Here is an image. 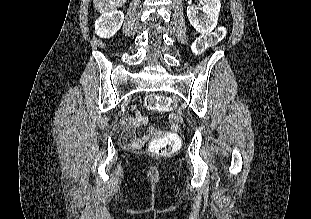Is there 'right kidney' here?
Returning a JSON list of instances; mask_svg holds the SVG:
<instances>
[{"label": "right kidney", "instance_id": "1", "mask_svg": "<svg viewBox=\"0 0 311 219\" xmlns=\"http://www.w3.org/2000/svg\"><path fill=\"white\" fill-rule=\"evenodd\" d=\"M124 14L112 11L101 15L95 22V32L101 38H110L121 28Z\"/></svg>", "mask_w": 311, "mask_h": 219}]
</instances>
